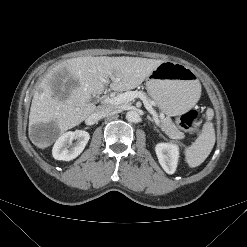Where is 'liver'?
I'll list each match as a JSON object with an SVG mask.
<instances>
[{
	"instance_id": "obj_1",
	"label": "liver",
	"mask_w": 247,
	"mask_h": 247,
	"mask_svg": "<svg viewBox=\"0 0 247 247\" xmlns=\"http://www.w3.org/2000/svg\"><path fill=\"white\" fill-rule=\"evenodd\" d=\"M163 61L140 57H78L69 59L51 69L35 91L29 114V132L33 125L54 121L60 134L79 125L95 112L91 95L101 94L111 80L110 89L117 92L139 86ZM67 71L78 82L69 90L66 99H60L52 90L50 81L58 72ZM64 90V88L62 89ZM30 139L38 148L49 143Z\"/></svg>"
}]
</instances>
